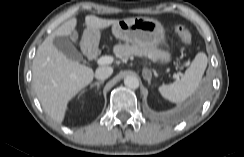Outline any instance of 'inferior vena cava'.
I'll return each instance as SVG.
<instances>
[{
    "instance_id": "obj_1",
    "label": "inferior vena cava",
    "mask_w": 244,
    "mask_h": 157,
    "mask_svg": "<svg viewBox=\"0 0 244 157\" xmlns=\"http://www.w3.org/2000/svg\"><path fill=\"white\" fill-rule=\"evenodd\" d=\"M112 73H113L112 67H99L95 72V77L98 80L104 81L105 79L110 77Z\"/></svg>"
}]
</instances>
